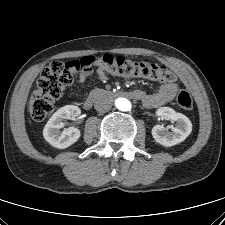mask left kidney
Returning a JSON list of instances; mask_svg holds the SVG:
<instances>
[{
	"mask_svg": "<svg viewBox=\"0 0 225 225\" xmlns=\"http://www.w3.org/2000/svg\"><path fill=\"white\" fill-rule=\"evenodd\" d=\"M156 115L161 119H167L176 122V127H171L172 132H166L161 125H155L152 128V136L159 144L170 147L183 142L192 131V123L185 115L175 112L169 107H161Z\"/></svg>",
	"mask_w": 225,
	"mask_h": 225,
	"instance_id": "5707ae66",
	"label": "left kidney"
}]
</instances>
